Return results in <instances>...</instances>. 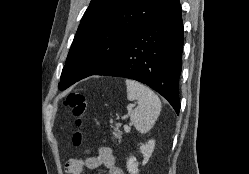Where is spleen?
<instances>
[{
	"label": "spleen",
	"instance_id": "obj_1",
	"mask_svg": "<svg viewBox=\"0 0 249 174\" xmlns=\"http://www.w3.org/2000/svg\"><path fill=\"white\" fill-rule=\"evenodd\" d=\"M126 86L127 98L137 101V106L131 112V122L144 134L152 128L160 115L161 101L151 89L137 81L127 79Z\"/></svg>",
	"mask_w": 249,
	"mask_h": 174
}]
</instances>
